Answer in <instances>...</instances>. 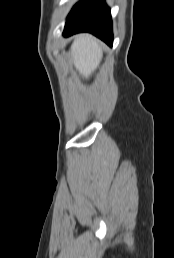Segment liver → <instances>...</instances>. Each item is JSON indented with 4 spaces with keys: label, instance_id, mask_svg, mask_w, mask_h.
<instances>
[{
    "label": "liver",
    "instance_id": "obj_1",
    "mask_svg": "<svg viewBox=\"0 0 174 258\" xmlns=\"http://www.w3.org/2000/svg\"><path fill=\"white\" fill-rule=\"evenodd\" d=\"M70 51L76 70L86 79L97 69L103 57L98 40L90 34L77 35Z\"/></svg>",
    "mask_w": 174,
    "mask_h": 258
}]
</instances>
